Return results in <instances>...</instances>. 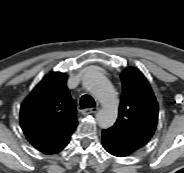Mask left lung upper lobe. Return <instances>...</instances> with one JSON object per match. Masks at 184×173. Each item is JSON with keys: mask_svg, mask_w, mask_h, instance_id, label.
<instances>
[{"mask_svg": "<svg viewBox=\"0 0 184 173\" xmlns=\"http://www.w3.org/2000/svg\"><path fill=\"white\" fill-rule=\"evenodd\" d=\"M123 93L116 123L107 130L136 152L153 136L158 121V103L144 77L136 68L128 67L120 75Z\"/></svg>", "mask_w": 184, "mask_h": 173, "instance_id": "obj_1", "label": "left lung upper lobe"}]
</instances>
